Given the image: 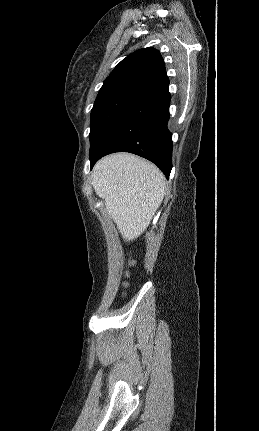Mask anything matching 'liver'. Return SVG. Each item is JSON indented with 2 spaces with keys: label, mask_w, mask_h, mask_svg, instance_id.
Instances as JSON below:
<instances>
[{
  "label": "liver",
  "mask_w": 259,
  "mask_h": 431,
  "mask_svg": "<svg viewBox=\"0 0 259 431\" xmlns=\"http://www.w3.org/2000/svg\"><path fill=\"white\" fill-rule=\"evenodd\" d=\"M165 177L152 163L129 153L99 160L92 186L105 201L125 241H133L149 226L165 195Z\"/></svg>",
  "instance_id": "obj_1"
}]
</instances>
